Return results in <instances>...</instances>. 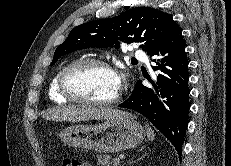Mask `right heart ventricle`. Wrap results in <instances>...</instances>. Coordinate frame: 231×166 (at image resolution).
<instances>
[{
	"label": "right heart ventricle",
	"mask_w": 231,
	"mask_h": 166,
	"mask_svg": "<svg viewBox=\"0 0 231 166\" xmlns=\"http://www.w3.org/2000/svg\"><path fill=\"white\" fill-rule=\"evenodd\" d=\"M63 70L60 69L56 75L53 77L50 86H49V98L56 103H64L67 102L68 99L65 98L59 91V86H58V80L61 74V71Z\"/></svg>",
	"instance_id": "obj_1"
}]
</instances>
